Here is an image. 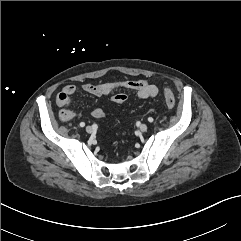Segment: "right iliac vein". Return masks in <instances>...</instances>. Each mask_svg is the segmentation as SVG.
I'll list each match as a JSON object with an SVG mask.
<instances>
[{
	"label": "right iliac vein",
	"instance_id": "1",
	"mask_svg": "<svg viewBox=\"0 0 241 241\" xmlns=\"http://www.w3.org/2000/svg\"><path fill=\"white\" fill-rule=\"evenodd\" d=\"M93 131L92 127L91 126H87L86 127V132L87 133H91Z\"/></svg>",
	"mask_w": 241,
	"mask_h": 241
}]
</instances>
